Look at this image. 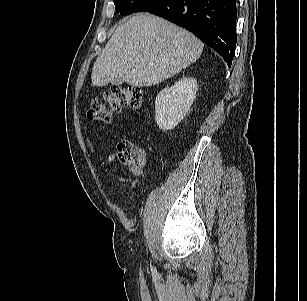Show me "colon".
I'll use <instances>...</instances> for the list:
<instances>
[{
	"label": "colon",
	"instance_id": "colon-1",
	"mask_svg": "<svg viewBox=\"0 0 307 301\" xmlns=\"http://www.w3.org/2000/svg\"><path fill=\"white\" fill-rule=\"evenodd\" d=\"M143 105V92L138 87H116L105 93L103 97L93 96L89 100L88 115L95 121L108 123L114 114L123 108L138 109ZM118 158L122 164L139 174L141 172L142 151L129 141H121L117 145Z\"/></svg>",
	"mask_w": 307,
	"mask_h": 301
}]
</instances>
